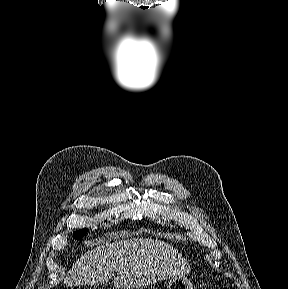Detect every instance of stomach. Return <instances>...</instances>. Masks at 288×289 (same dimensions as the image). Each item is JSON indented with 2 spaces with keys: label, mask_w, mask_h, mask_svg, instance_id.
<instances>
[{
  "label": "stomach",
  "mask_w": 288,
  "mask_h": 289,
  "mask_svg": "<svg viewBox=\"0 0 288 289\" xmlns=\"http://www.w3.org/2000/svg\"><path fill=\"white\" fill-rule=\"evenodd\" d=\"M167 289H193V286L185 276H175L169 280Z\"/></svg>",
  "instance_id": "obj_1"
}]
</instances>
